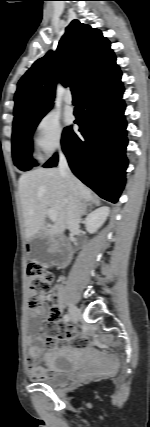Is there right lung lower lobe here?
I'll return each instance as SVG.
<instances>
[{
  "label": "right lung lower lobe",
  "mask_w": 150,
  "mask_h": 427,
  "mask_svg": "<svg viewBox=\"0 0 150 427\" xmlns=\"http://www.w3.org/2000/svg\"><path fill=\"white\" fill-rule=\"evenodd\" d=\"M121 72L116 65L80 91L74 123L64 129L62 149L72 172L102 198L116 203L125 184L127 159L124 92ZM57 154L45 168L57 165Z\"/></svg>",
  "instance_id": "98d812e1"
}]
</instances>
